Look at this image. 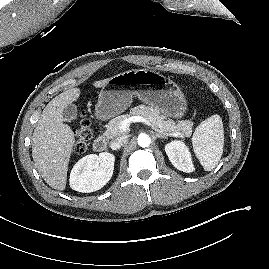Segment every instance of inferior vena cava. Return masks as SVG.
I'll list each match as a JSON object with an SVG mask.
<instances>
[{
    "instance_id": "obj_1",
    "label": "inferior vena cava",
    "mask_w": 269,
    "mask_h": 269,
    "mask_svg": "<svg viewBox=\"0 0 269 269\" xmlns=\"http://www.w3.org/2000/svg\"><path fill=\"white\" fill-rule=\"evenodd\" d=\"M123 141H124L123 138H117L116 140H114L113 142H111V144H110L111 149L112 150L119 149L122 146Z\"/></svg>"
}]
</instances>
